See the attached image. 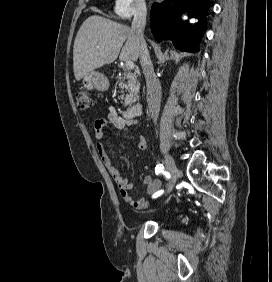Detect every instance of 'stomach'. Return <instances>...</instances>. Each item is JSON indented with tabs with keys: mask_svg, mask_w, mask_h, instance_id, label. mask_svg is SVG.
<instances>
[{
	"mask_svg": "<svg viewBox=\"0 0 272 282\" xmlns=\"http://www.w3.org/2000/svg\"><path fill=\"white\" fill-rule=\"evenodd\" d=\"M83 86L91 90L93 88L104 91L109 87V81L105 75L98 71H91L83 78Z\"/></svg>",
	"mask_w": 272,
	"mask_h": 282,
	"instance_id": "0dacf381",
	"label": "stomach"
}]
</instances>
